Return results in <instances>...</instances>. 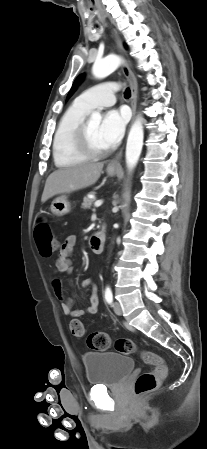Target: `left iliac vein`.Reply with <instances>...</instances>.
<instances>
[{"label": "left iliac vein", "instance_id": "left-iliac-vein-1", "mask_svg": "<svg viewBox=\"0 0 207 449\" xmlns=\"http://www.w3.org/2000/svg\"><path fill=\"white\" fill-rule=\"evenodd\" d=\"M113 309H114V312H115L117 315H122V308H121V305H120L119 302H115V303H114Z\"/></svg>", "mask_w": 207, "mask_h": 449}]
</instances>
